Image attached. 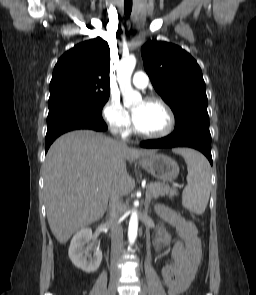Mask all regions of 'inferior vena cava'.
<instances>
[{"mask_svg":"<svg viewBox=\"0 0 256 295\" xmlns=\"http://www.w3.org/2000/svg\"><path fill=\"white\" fill-rule=\"evenodd\" d=\"M126 145L125 142H120ZM123 190L118 182H114L110 188V220L111 229V272H116V260L123 248V229L119 223L122 214Z\"/></svg>","mask_w":256,"mask_h":295,"instance_id":"obj_1","label":"inferior vena cava"}]
</instances>
